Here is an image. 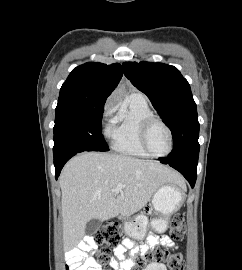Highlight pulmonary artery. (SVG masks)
<instances>
[{
  "label": "pulmonary artery",
  "instance_id": "1",
  "mask_svg": "<svg viewBox=\"0 0 242 270\" xmlns=\"http://www.w3.org/2000/svg\"><path fill=\"white\" fill-rule=\"evenodd\" d=\"M136 95L140 96V97H143L144 98V95L141 94V93H136Z\"/></svg>",
  "mask_w": 242,
  "mask_h": 270
}]
</instances>
